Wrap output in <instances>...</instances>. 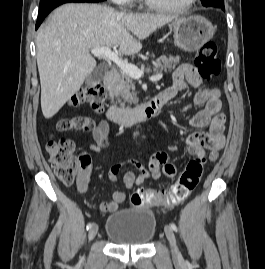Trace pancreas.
Returning <instances> with one entry per match:
<instances>
[{"label":"pancreas","instance_id":"obj_1","mask_svg":"<svg viewBox=\"0 0 265 269\" xmlns=\"http://www.w3.org/2000/svg\"><path fill=\"white\" fill-rule=\"evenodd\" d=\"M179 62V56H161L154 63L153 72L156 74L160 71H172ZM145 71L149 73L151 69L147 68ZM134 90L135 84L133 82V78L123 71L118 72L115 77L114 94L119 101L121 109H125V103L128 105L138 103V98ZM127 108H129V106Z\"/></svg>","mask_w":265,"mask_h":269}]
</instances>
